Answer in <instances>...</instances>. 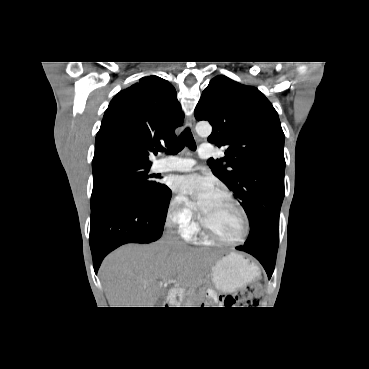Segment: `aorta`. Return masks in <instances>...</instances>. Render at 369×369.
Returning a JSON list of instances; mask_svg holds the SVG:
<instances>
[{
    "label": "aorta",
    "instance_id": "aorta-1",
    "mask_svg": "<svg viewBox=\"0 0 369 369\" xmlns=\"http://www.w3.org/2000/svg\"><path fill=\"white\" fill-rule=\"evenodd\" d=\"M196 132L201 137H207L212 132V127L208 122H199L196 125Z\"/></svg>",
    "mask_w": 369,
    "mask_h": 369
}]
</instances>
